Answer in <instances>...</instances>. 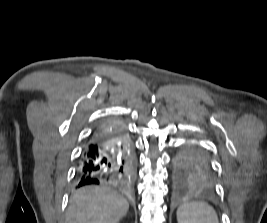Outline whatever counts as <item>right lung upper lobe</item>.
Returning <instances> with one entry per match:
<instances>
[{
    "instance_id": "right-lung-upper-lobe-1",
    "label": "right lung upper lobe",
    "mask_w": 267,
    "mask_h": 223,
    "mask_svg": "<svg viewBox=\"0 0 267 223\" xmlns=\"http://www.w3.org/2000/svg\"><path fill=\"white\" fill-rule=\"evenodd\" d=\"M116 123L110 122V123H104L100 128H103V132H97L95 133V137H99L100 135H104L106 133H108V128H111L112 125H114ZM120 124V123H117ZM122 125V124H121Z\"/></svg>"
}]
</instances>
